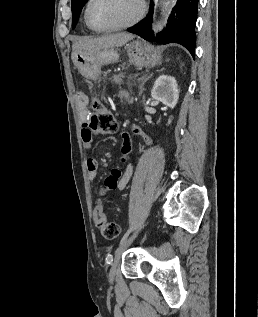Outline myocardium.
I'll use <instances>...</instances> for the list:
<instances>
[{
  "label": "myocardium",
  "instance_id": "obj_1",
  "mask_svg": "<svg viewBox=\"0 0 258 317\" xmlns=\"http://www.w3.org/2000/svg\"><path fill=\"white\" fill-rule=\"evenodd\" d=\"M94 1L95 0H89V2L87 3L85 13H84V18H85L87 25L92 30L97 31V32H113V31L132 29L140 22V20L143 18L144 14H145L144 3L141 0H134L138 5V13L132 21H130L129 23L124 24V25L113 26V27H108V28H98L91 22V20L89 18V10H90V7Z\"/></svg>",
  "mask_w": 258,
  "mask_h": 317
}]
</instances>
